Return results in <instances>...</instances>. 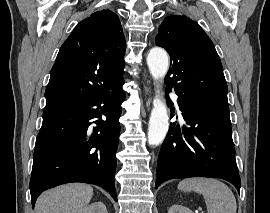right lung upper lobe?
I'll return each mask as SVG.
<instances>
[{"instance_id":"right-lung-upper-lobe-1","label":"right lung upper lobe","mask_w":270,"mask_h":213,"mask_svg":"<svg viewBox=\"0 0 270 213\" xmlns=\"http://www.w3.org/2000/svg\"><path fill=\"white\" fill-rule=\"evenodd\" d=\"M125 38L110 10L81 21L61 46L45 91L46 106L91 98L124 83Z\"/></svg>"}]
</instances>
